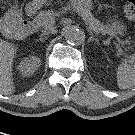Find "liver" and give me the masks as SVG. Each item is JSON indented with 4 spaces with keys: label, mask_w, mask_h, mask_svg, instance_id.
<instances>
[{
    "label": "liver",
    "mask_w": 135,
    "mask_h": 135,
    "mask_svg": "<svg viewBox=\"0 0 135 135\" xmlns=\"http://www.w3.org/2000/svg\"><path fill=\"white\" fill-rule=\"evenodd\" d=\"M16 51L15 44L0 38V93L6 96L14 92L12 65Z\"/></svg>",
    "instance_id": "1"
}]
</instances>
